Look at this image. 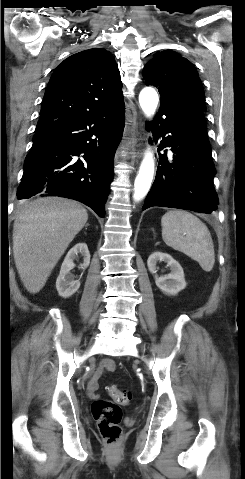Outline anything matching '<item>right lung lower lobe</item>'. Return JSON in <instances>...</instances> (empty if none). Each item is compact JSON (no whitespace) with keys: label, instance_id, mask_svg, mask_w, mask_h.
Masks as SVG:
<instances>
[{"label":"right lung lower lobe","instance_id":"obj_1","mask_svg":"<svg viewBox=\"0 0 245 479\" xmlns=\"http://www.w3.org/2000/svg\"><path fill=\"white\" fill-rule=\"evenodd\" d=\"M123 129L124 106L55 120L37 130L17 198L66 197L104 217Z\"/></svg>","mask_w":245,"mask_h":479}]
</instances>
